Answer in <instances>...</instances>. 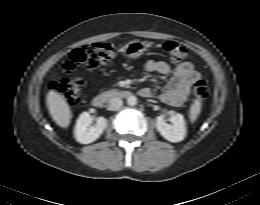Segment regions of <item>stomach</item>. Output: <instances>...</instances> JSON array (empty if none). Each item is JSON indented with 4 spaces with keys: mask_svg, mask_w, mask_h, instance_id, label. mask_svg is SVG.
<instances>
[{
    "mask_svg": "<svg viewBox=\"0 0 260 205\" xmlns=\"http://www.w3.org/2000/svg\"><path fill=\"white\" fill-rule=\"evenodd\" d=\"M148 48L146 42L139 40H132L123 48V54L129 59H136L140 57Z\"/></svg>",
    "mask_w": 260,
    "mask_h": 205,
    "instance_id": "0dacf381",
    "label": "stomach"
}]
</instances>
